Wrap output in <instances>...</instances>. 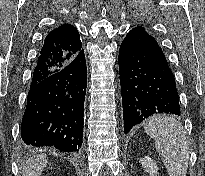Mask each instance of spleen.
<instances>
[{"mask_svg": "<svg viewBox=\"0 0 205 176\" xmlns=\"http://www.w3.org/2000/svg\"><path fill=\"white\" fill-rule=\"evenodd\" d=\"M144 130L155 140L169 176H186L190 148L182 124L172 117L159 115L150 118Z\"/></svg>", "mask_w": 205, "mask_h": 176, "instance_id": "3e777b00", "label": "spleen"}]
</instances>
